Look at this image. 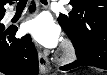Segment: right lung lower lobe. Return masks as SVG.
<instances>
[{
  "label": "right lung lower lobe",
  "mask_w": 107,
  "mask_h": 75,
  "mask_svg": "<svg viewBox=\"0 0 107 75\" xmlns=\"http://www.w3.org/2000/svg\"><path fill=\"white\" fill-rule=\"evenodd\" d=\"M16 32V27L0 31V72L6 75H38V55L30 35L16 39Z\"/></svg>",
  "instance_id": "98d812e1"
}]
</instances>
